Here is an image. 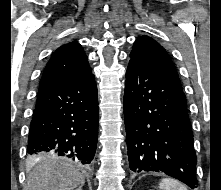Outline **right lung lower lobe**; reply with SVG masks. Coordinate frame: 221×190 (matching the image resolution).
Here are the masks:
<instances>
[{
    "label": "right lung lower lobe",
    "mask_w": 221,
    "mask_h": 190,
    "mask_svg": "<svg viewBox=\"0 0 221 190\" xmlns=\"http://www.w3.org/2000/svg\"><path fill=\"white\" fill-rule=\"evenodd\" d=\"M98 137V98L94 75L37 95L27 152L66 156L89 165Z\"/></svg>",
    "instance_id": "98d812e1"
}]
</instances>
